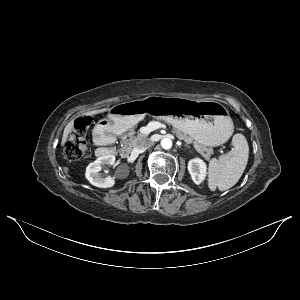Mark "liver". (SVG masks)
<instances>
[{
    "mask_svg": "<svg viewBox=\"0 0 300 300\" xmlns=\"http://www.w3.org/2000/svg\"><path fill=\"white\" fill-rule=\"evenodd\" d=\"M110 108H103V109H99V110H93V111H89L87 113L82 114L81 116H93L96 114H100V113H104L106 111H109ZM73 130V121L69 122L67 124V126L64 129L63 132V136H62V142L61 145L64 146L65 143L67 142L68 139V135L71 133V131Z\"/></svg>",
    "mask_w": 300,
    "mask_h": 300,
    "instance_id": "liver-1",
    "label": "liver"
}]
</instances>
